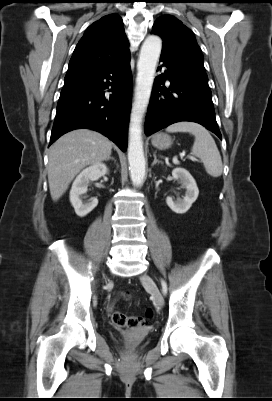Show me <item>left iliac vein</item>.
Segmentation results:
<instances>
[{
  "instance_id": "1",
  "label": "left iliac vein",
  "mask_w": 272,
  "mask_h": 401,
  "mask_svg": "<svg viewBox=\"0 0 272 401\" xmlns=\"http://www.w3.org/2000/svg\"><path fill=\"white\" fill-rule=\"evenodd\" d=\"M141 281L144 286L151 292L152 296L154 297L155 303L159 307H163L164 305V298L158 289L157 285L155 284L154 280L147 274L142 275Z\"/></svg>"
}]
</instances>
